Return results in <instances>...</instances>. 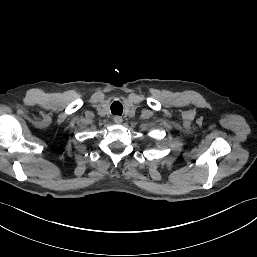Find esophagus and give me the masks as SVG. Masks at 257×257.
<instances>
[{
	"label": "esophagus",
	"mask_w": 257,
	"mask_h": 257,
	"mask_svg": "<svg viewBox=\"0 0 257 257\" xmlns=\"http://www.w3.org/2000/svg\"><path fill=\"white\" fill-rule=\"evenodd\" d=\"M113 120L116 124H121L123 121L122 117L119 115L114 116Z\"/></svg>",
	"instance_id": "obj_1"
}]
</instances>
